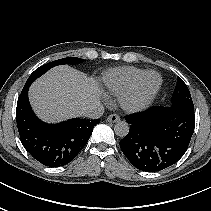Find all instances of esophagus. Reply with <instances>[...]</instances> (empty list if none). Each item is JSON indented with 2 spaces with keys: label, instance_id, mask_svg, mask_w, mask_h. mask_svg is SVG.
I'll list each match as a JSON object with an SVG mask.
<instances>
[{
  "label": "esophagus",
  "instance_id": "obj_1",
  "mask_svg": "<svg viewBox=\"0 0 211 211\" xmlns=\"http://www.w3.org/2000/svg\"><path fill=\"white\" fill-rule=\"evenodd\" d=\"M107 121H108V122H111V123H115V122L120 121V117H119L117 114H110V115L107 117Z\"/></svg>",
  "mask_w": 211,
  "mask_h": 211
}]
</instances>
